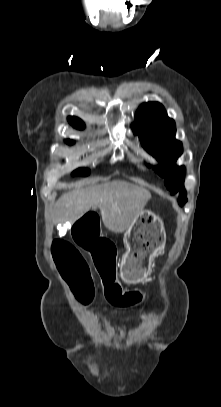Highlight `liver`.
Returning a JSON list of instances; mask_svg holds the SVG:
<instances>
[{
  "label": "liver",
  "mask_w": 221,
  "mask_h": 407,
  "mask_svg": "<svg viewBox=\"0 0 221 407\" xmlns=\"http://www.w3.org/2000/svg\"><path fill=\"white\" fill-rule=\"evenodd\" d=\"M150 198L148 190L121 181L76 189L59 198L58 219L74 223L96 206L105 227L122 233L138 218Z\"/></svg>",
  "instance_id": "6515ba94"
}]
</instances>
